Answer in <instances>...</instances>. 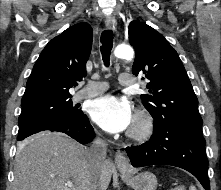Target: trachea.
Listing matches in <instances>:
<instances>
[{
    "instance_id": "obj_1",
    "label": "trachea",
    "mask_w": 221,
    "mask_h": 190,
    "mask_svg": "<svg viewBox=\"0 0 221 190\" xmlns=\"http://www.w3.org/2000/svg\"><path fill=\"white\" fill-rule=\"evenodd\" d=\"M101 42V54L104 65L108 67L110 65V54L113 47V33L112 30H104L100 38Z\"/></svg>"
}]
</instances>
